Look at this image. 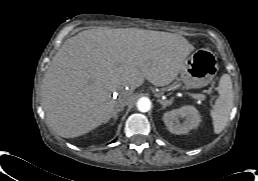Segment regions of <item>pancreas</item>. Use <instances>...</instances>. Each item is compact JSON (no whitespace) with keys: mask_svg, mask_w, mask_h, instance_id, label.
<instances>
[{"mask_svg":"<svg viewBox=\"0 0 258 181\" xmlns=\"http://www.w3.org/2000/svg\"><path fill=\"white\" fill-rule=\"evenodd\" d=\"M198 99H200V100H204V99H205V96H204L203 94H199Z\"/></svg>","mask_w":258,"mask_h":181,"instance_id":"pancreas-1","label":"pancreas"}]
</instances>
